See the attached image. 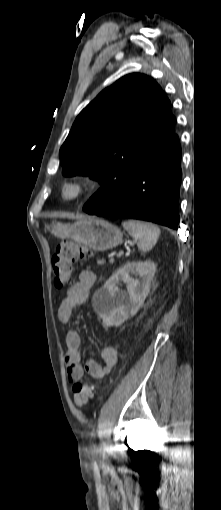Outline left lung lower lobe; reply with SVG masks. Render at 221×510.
I'll return each instance as SVG.
<instances>
[{
    "label": "left lung lower lobe",
    "mask_w": 221,
    "mask_h": 510,
    "mask_svg": "<svg viewBox=\"0 0 221 510\" xmlns=\"http://www.w3.org/2000/svg\"><path fill=\"white\" fill-rule=\"evenodd\" d=\"M180 159L177 138L151 153L111 202L100 209L87 202L83 210L91 215L147 220L177 229Z\"/></svg>",
    "instance_id": "obj_1"
}]
</instances>
